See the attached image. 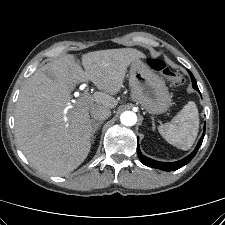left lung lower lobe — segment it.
Wrapping results in <instances>:
<instances>
[{
	"mask_svg": "<svg viewBox=\"0 0 225 225\" xmlns=\"http://www.w3.org/2000/svg\"><path fill=\"white\" fill-rule=\"evenodd\" d=\"M188 72H189L191 80H192L193 88L199 91L196 80H195L193 74L189 70H188ZM204 135H205V126H204V133H203L202 137L200 138L195 150L190 155H188L184 159L179 160L177 162L164 163V162H158V161L152 160V159H150L146 156H143L142 153L140 152V149L137 148L139 159L141 160V162L144 165L152 167V168H157V169H161V170H164V171L177 170V169L183 167L184 165H186L187 163H189L192 160V158L196 155L199 147L201 146V144L203 142Z\"/></svg>",
	"mask_w": 225,
	"mask_h": 225,
	"instance_id": "1",
	"label": "left lung lower lobe"
}]
</instances>
